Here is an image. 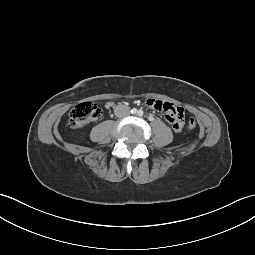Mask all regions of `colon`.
<instances>
[{"label": "colon", "mask_w": 255, "mask_h": 255, "mask_svg": "<svg viewBox=\"0 0 255 255\" xmlns=\"http://www.w3.org/2000/svg\"><path fill=\"white\" fill-rule=\"evenodd\" d=\"M102 116V110L93 102H83L76 105L69 115V126L72 129H80L90 123L98 121ZM188 128L194 129V118L188 119Z\"/></svg>", "instance_id": "1"}]
</instances>
